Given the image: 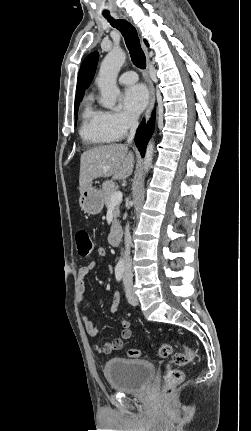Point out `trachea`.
Masks as SVG:
<instances>
[{
    "label": "trachea",
    "instance_id": "3493384b",
    "mask_svg": "<svg viewBox=\"0 0 251 431\" xmlns=\"http://www.w3.org/2000/svg\"><path fill=\"white\" fill-rule=\"evenodd\" d=\"M104 16L113 27L121 32L129 50L133 64L140 69H145L146 57L141 48L136 29L126 20H115L110 17L109 14H105Z\"/></svg>",
    "mask_w": 251,
    "mask_h": 431
}]
</instances>
